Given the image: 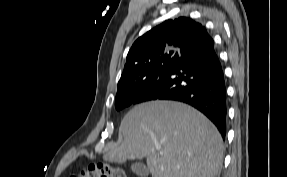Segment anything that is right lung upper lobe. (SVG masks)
Instances as JSON below:
<instances>
[{
    "mask_svg": "<svg viewBox=\"0 0 287 177\" xmlns=\"http://www.w3.org/2000/svg\"><path fill=\"white\" fill-rule=\"evenodd\" d=\"M205 30L204 26L188 17L167 20L154 27L132 45L118 85L132 82L141 72L161 59L180 57L188 44Z\"/></svg>",
    "mask_w": 287,
    "mask_h": 177,
    "instance_id": "cb5924a9",
    "label": "right lung upper lobe"
}]
</instances>
